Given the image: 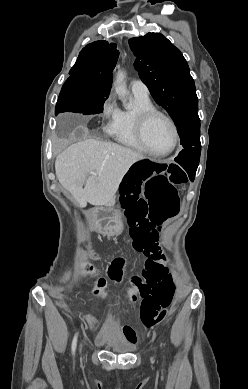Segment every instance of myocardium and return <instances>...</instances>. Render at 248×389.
<instances>
[{"instance_id": "1", "label": "myocardium", "mask_w": 248, "mask_h": 389, "mask_svg": "<svg viewBox=\"0 0 248 389\" xmlns=\"http://www.w3.org/2000/svg\"><path fill=\"white\" fill-rule=\"evenodd\" d=\"M154 116H160L164 118L169 125L171 126L172 133H173V144L171 148L165 152H155L149 148L147 145L146 139H145V129L148 124V122L154 117ZM136 136L138 138V141L140 142L141 146L143 147L144 151L148 153L149 155L155 156V157H165L170 155L174 150L176 149L178 142H179V134L177 126L174 122V120L168 116L163 111L156 109V108H149L140 111L136 116Z\"/></svg>"}]
</instances>
